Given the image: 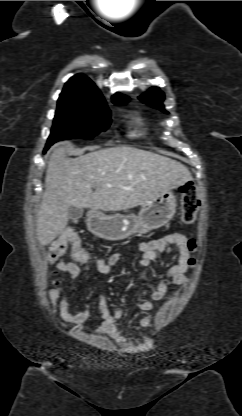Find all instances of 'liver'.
Wrapping results in <instances>:
<instances>
[{"instance_id":"liver-1","label":"liver","mask_w":242,"mask_h":416,"mask_svg":"<svg viewBox=\"0 0 242 416\" xmlns=\"http://www.w3.org/2000/svg\"><path fill=\"white\" fill-rule=\"evenodd\" d=\"M191 179L180 162L134 147L104 148L68 158L66 145L58 146L46 170L36 221L38 242L48 245L64 231L70 206L103 211L144 207Z\"/></svg>"}]
</instances>
